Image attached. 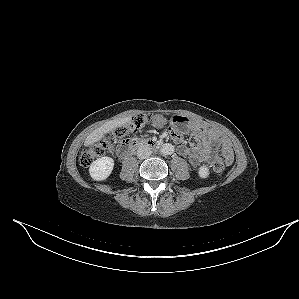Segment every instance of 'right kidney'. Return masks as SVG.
Returning <instances> with one entry per match:
<instances>
[{
  "label": "right kidney",
  "mask_w": 299,
  "mask_h": 299,
  "mask_svg": "<svg viewBox=\"0 0 299 299\" xmlns=\"http://www.w3.org/2000/svg\"><path fill=\"white\" fill-rule=\"evenodd\" d=\"M114 167V160L111 157H101L91 163L89 168L93 180L102 181L107 179Z\"/></svg>",
  "instance_id": "obj_1"
}]
</instances>
